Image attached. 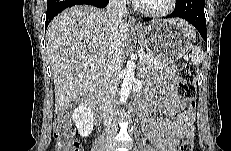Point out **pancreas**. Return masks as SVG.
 I'll return each instance as SVG.
<instances>
[{
  "label": "pancreas",
  "mask_w": 231,
  "mask_h": 151,
  "mask_svg": "<svg viewBox=\"0 0 231 151\" xmlns=\"http://www.w3.org/2000/svg\"><path fill=\"white\" fill-rule=\"evenodd\" d=\"M146 56L141 59V69L143 72L158 71L168 69L169 62L162 60L159 57L151 54H145Z\"/></svg>",
  "instance_id": "1"
}]
</instances>
